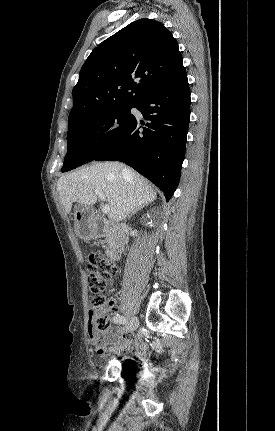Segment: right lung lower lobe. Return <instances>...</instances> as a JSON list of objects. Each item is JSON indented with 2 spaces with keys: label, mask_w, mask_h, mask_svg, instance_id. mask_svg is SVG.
<instances>
[{
  "label": "right lung lower lobe",
  "mask_w": 275,
  "mask_h": 431,
  "mask_svg": "<svg viewBox=\"0 0 275 431\" xmlns=\"http://www.w3.org/2000/svg\"><path fill=\"white\" fill-rule=\"evenodd\" d=\"M190 89L185 69L168 85L135 107L147 123L135 118L123 134L95 160L126 163L157 185L168 201L175 192L190 121Z\"/></svg>",
  "instance_id": "1"
}]
</instances>
